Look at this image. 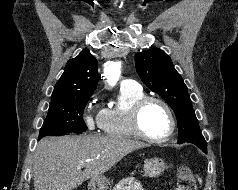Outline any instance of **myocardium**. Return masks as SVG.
Instances as JSON below:
<instances>
[{
  "instance_id": "obj_1",
  "label": "myocardium",
  "mask_w": 238,
  "mask_h": 190,
  "mask_svg": "<svg viewBox=\"0 0 238 190\" xmlns=\"http://www.w3.org/2000/svg\"><path fill=\"white\" fill-rule=\"evenodd\" d=\"M151 103H157L161 105L167 112L170 119V129L162 137H153L148 135L141 125L142 112L145 107ZM130 124L133 132L136 134L137 137L151 143H162L168 141L173 136L176 130V118L171 107L161 98L154 96H144L143 98L139 99L134 103L130 111Z\"/></svg>"
}]
</instances>
